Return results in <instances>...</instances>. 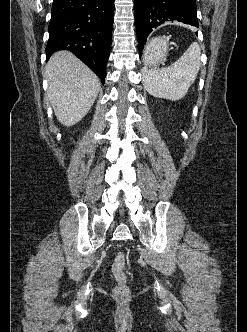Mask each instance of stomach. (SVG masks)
<instances>
[{
  "instance_id": "stomach-1",
  "label": "stomach",
  "mask_w": 247,
  "mask_h": 332,
  "mask_svg": "<svg viewBox=\"0 0 247 332\" xmlns=\"http://www.w3.org/2000/svg\"><path fill=\"white\" fill-rule=\"evenodd\" d=\"M168 55V41L164 37L154 38L146 46L143 61L146 67H157Z\"/></svg>"
}]
</instances>
